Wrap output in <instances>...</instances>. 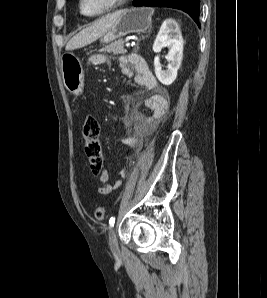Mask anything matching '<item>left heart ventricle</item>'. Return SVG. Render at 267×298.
Here are the masks:
<instances>
[{"label":"left heart ventricle","mask_w":267,"mask_h":298,"mask_svg":"<svg viewBox=\"0 0 267 298\" xmlns=\"http://www.w3.org/2000/svg\"><path fill=\"white\" fill-rule=\"evenodd\" d=\"M112 0H84L83 9L88 14H95L104 10Z\"/></svg>","instance_id":"1"}]
</instances>
